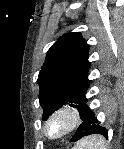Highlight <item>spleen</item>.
Segmentation results:
<instances>
[{
  "label": "spleen",
  "mask_w": 124,
  "mask_h": 149,
  "mask_svg": "<svg viewBox=\"0 0 124 149\" xmlns=\"http://www.w3.org/2000/svg\"><path fill=\"white\" fill-rule=\"evenodd\" d=\"M85 144L87 145L88 149H105L103 146H100L99 141L95 139L94 137L89 140L84 141L82 145H85Z\"/></svg>",
  "instance_id": "spleen-1"
}]
</instances>
